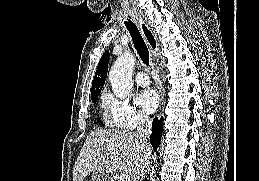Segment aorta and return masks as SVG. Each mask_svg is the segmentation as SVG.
I'll return each instance as SVG.
<instances>
[{
    "mask_svg": "<svg viewBox=\"0 0 259 181\" xmlns=\"http://www.w3.org/2000/svg\"><path fill=\"white\" fill-rule=\"evenodd\" d=\"M134 65L135 57L127 51L116 59L109 72L112 91L119 99H125L133 87L132 71Z\"/></svg>",
    "mask_w": 259,
    "mask_h": 181,
    "instance_id": "1",
    "label": "aorta"
}]
</instances>
